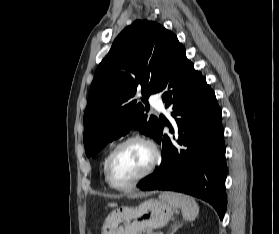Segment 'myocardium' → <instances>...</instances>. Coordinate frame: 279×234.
<instances>
[{"label": "myocardium", "instance_id": "myocardium-1", "mask_svg": "<svg viewBox=\"0 0 279 234\" xmlns=\"http://www.w3.org/2000/svg\"><path fill=\"white\" fill-rule=\"evenodd\" d=\"M131 142H140V143L146 145L150 149L151 154H152L151 162L148 165V167L132 181L124 183V184H117L111 177V164H112V161H113L115 155L117 154V152L122 147H124L125 145H127ZM159 162H160V152L153 141H151L150 139H148L144 136H141V135H131V136L125 138L124 140H122L121 142H119L113 148V150L109 153L106 163H105V168H104L105 179L112 188L117 189V190H127V189L137 185L145 178H147L155 170V168L157 167Z\"/></svg>", "mask_w": 279, "mask_h": 234}]
</instances>
